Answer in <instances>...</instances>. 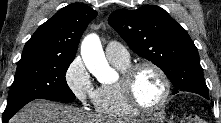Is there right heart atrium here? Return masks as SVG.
<instances>
[{"label": "right heart atrium", "instance_id": "obj_1", "mask_svg": "<svg viewBox=\"0 0 221 123\" xmlns=\"http://www.w3.org/2000/svg\"><path fill=\"white\" fill-rule=\"evenodd\" d=\"M65 81L70 91L84 107L95 105L97 88L81 58L76 57L69 64L65 72Z\"/></svg>", "mask_w": 221, "mask_h": 123}]
</instances>
